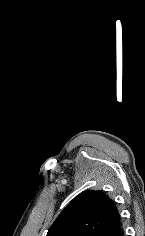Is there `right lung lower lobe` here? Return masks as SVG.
Returning a JSON list of instances; mask_svg holds the SVG:
<instances>
[{
  "label": "right lung lower lobe",
  "instance_id": "right-lung-lower-lobe-1",
  "mask_svg": "<svg viewBox=\"0 0 145 236\" xmlns=\"http://www.w3.org/2000/svg\"><path fill=\"white\" fill-rule=\"evenodd\" d=\"M99 236H123V231L121 229V225L118 222L117 224L113 225L112 227L106 229Z\"/></svg>",
  "mask_w": 145,
  "mask_h": 236
}]
</instances>
